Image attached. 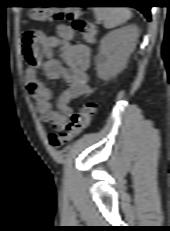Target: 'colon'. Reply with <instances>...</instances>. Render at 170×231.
I'll return each instance as SVG.
<instances>
[{
  "label": "colon",
  "instance_id": "1",
  "mask_svg": "<svg viewBox=\"0 0 170 231\" xmlns=\"http://www.w3.org/2000/svg\"><path fill=\"white\" fill-rule=\"evenodd\" d=\"M82 14L83 11L77 7H70L61 10L36 8L31 10L29 13L32 19L40 22L67 20L71 22L73 29L76 30L86 42L92 43L95 41L98 33L97 27L94 23L83 19ZM95 111V102H87L72 116L65 131L60 134L52 133L49 135L50 144L53 147H61L80 135L91 124Z\"/></svg>",
  "mask_w": 170,
  "mask_h": 231
}]
</instances>
